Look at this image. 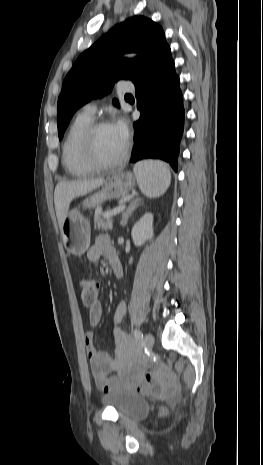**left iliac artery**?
Masks as SVG:
<instances>
[{
    "mask_svg": "<svg viewBox=\"0 0 263 465\" xmlns=\"http://www.w3.org/2000/svg\"><path fill=\"white\" fill-rule=\"evenodd\" d=\"M133 334H134V336H135V338H136V340H137L138 342H142V341H143V333H142L140 330L135 329V330L133 331Z\"/></svg>",
    "mask_w": 263,
    "mask_h": 465,
    "instance_id": "44dca946",
    "label": "left iliac artery"
}]
</instances>
